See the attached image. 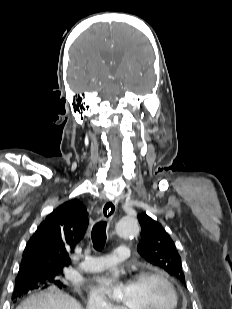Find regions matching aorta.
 I'll return each mask as SVG.
<instances>
[{
	"label": "aorta",
	"instance_id": "aorta-1",
	"mask_svg": "<svg viewBox=\"0 0 232 309\" xmlns=\"http://www.w3.org/2000/svg\"><path fill=\"white\" fill-rule=\"evenodd\" d=\"M116 230L120 237H134L139 232L138 222L135 218L123 217L116 224ZM122 295L121 287L114 290V297L119 299Z\"/></svg>",
	"mask_w": 232,
	"mask_h": 309
}]
</instances>
